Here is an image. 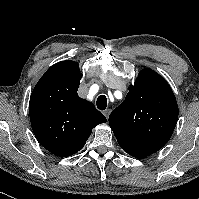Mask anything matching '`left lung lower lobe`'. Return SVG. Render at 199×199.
<instances>
[{"instance_id": "0a47b994", "label": "left lung lower lobe", "mask_w": 199, "mask_h": 199, "mask_svg": "<svg viewBox=\"0 0 199 199\" xmlns=\"http://www.w3.org/2000/svg\"><path fill=\"white\" fill-rule=\"evenodd\" d=\"M113 132L121 148L136 158H145L160 150L165 145L121 129H113Z\"/></svg>"}]
</instances>
